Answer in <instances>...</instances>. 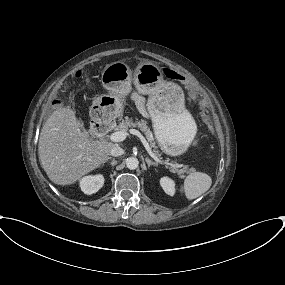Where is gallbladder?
Listing matches in <instances>:
<instances>
[{
	"label": "gallbladder",
	"mask_w": 285,
	"mask_h": 285,
	"mask_svg": "<svg viewBox=\"0 0 285 285\" xmlns=\"http://www.w3.org/2000/svg\"><path fill=\"white\" fill-rule=\"evenodd\" d=\"M79 123H80V125H81V127L83 126V124H82V122L79 120Z\"/></svg>",
	"instance_id": "bac80fb5"
}]
</instances>
